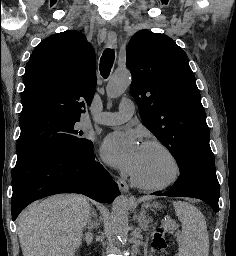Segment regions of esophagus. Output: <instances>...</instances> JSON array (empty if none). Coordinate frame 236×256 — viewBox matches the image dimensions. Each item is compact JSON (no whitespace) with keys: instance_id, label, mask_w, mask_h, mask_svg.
<instances>
[{"instance_id":"34e87169","label":"esophagus","mask_w":236,"mask_h":256,"mask_svg":"<svg viewBox=\"0 0 236 256\" xmlns=\"http://www.w3.org/2000/svg\"><path fill=\"white\" fill-rule=\"evenodd\" d=\"M108 41H109L110 45H115V43L117 41L116 33L109 34L108 35ZM118 186H119V189L123 193H128L129 192V186L127 185V183H126V181L124 179H119L118 180Z\"/></svg>"}]
</instances>
